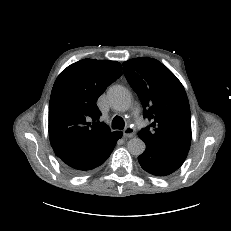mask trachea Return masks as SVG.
I'll list each match as a JSON object with an SVG mask.
<instances>
[{
  "label": "trachea",
  "instance_id": "trachea-1",
  "mask_svg": "<svg viewBox=\"0 0 231 231\" xmlns=\"http://www.w3.org/2000/svg\"><path fill=\"white\" fill-rule=\"evenodd\" d=\"M125 126L124 120L119 117V116H115L112 120V128L114 129H120L122 130Z\"/></svg>",
  "mask_w": 231,
  "mask_h": 231
}]
</instances>
